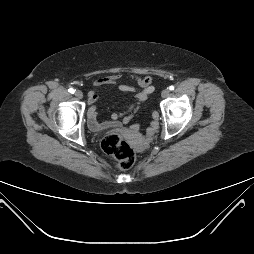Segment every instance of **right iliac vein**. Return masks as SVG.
<instances>
[{
  "instance_id": "63e3f726",
  "label": "right iliac vein",
  "mask_w": 254,
  "mask_h": 254,
  "mask_svg": "<svg viewBox=\"0 0 254 254\" xmlns=\"http://www.w3.org/2000/svg\"><path fill=\"white\" fill-rule=\"evenodd\" d=\"M75 96H76V98H78V99H82V98H83V93H82L80 90H77V91L75 92Z\"/></svg>"
}]
</instances>
